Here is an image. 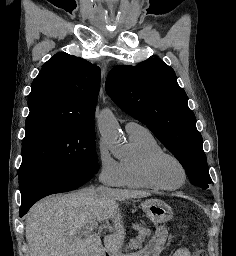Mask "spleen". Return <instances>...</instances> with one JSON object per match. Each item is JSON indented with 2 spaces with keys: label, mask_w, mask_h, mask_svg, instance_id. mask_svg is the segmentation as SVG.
Returning a JSON list of instances; mask_svg holds the SVG:
<instances>
[{
  "label": "spleen",
  "mask_w": 236,
  "mask_h": 256,
  "mask_svg": "<svg viewBox=\"0 0 236 256\" xmlns=\"http://www.w3.org/2000/svg\"><path fill=\"white\" fill-rule=\"evenodd\" d=\"M174 256H190V252L188 250H181V252H176Z\"/></svg>",
  "instance_id": "1"
}]
</instances>
